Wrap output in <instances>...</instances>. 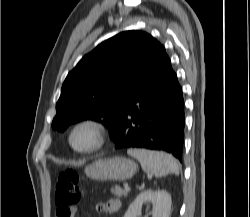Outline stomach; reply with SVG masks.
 I'll use <instances>...</instances> for the list:
<instances>
[{
  "label": "stomach",
  "mask_w": 250,
  "mask_h": 217,
  "mask_svg": "<svg viewBox=\"0 0 250 217\" xmlns=\"http://www.w3.org/2000/svg\"><path fill=\"white\" fill-rule=\"evenodd\" d=\"M136 164L127 158L114 157L99 159L85 168L88 177L97 181H124L136 173Z\"/></svg>",
  "instance_id": "0dacf381"
}]
</instances>
